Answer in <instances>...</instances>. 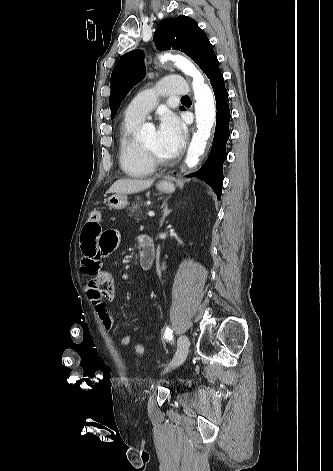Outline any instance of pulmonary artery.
<instances>
[{"instance_id":"1","label":"pulmonary artery","mask_w":333,"mask_h":471,"mask_svg":"<svg viewBox=\"0 0 333 471\" xmlns=\"http://www.w3.org/2000/svg\"><path fill=\"white\" fill-rule=\"evenodd\" d=\"M189 91V86L182 76L165 77L157 83L154 89L138 94L126 107L124 115L128 119L142 120L153 109L159 95H187Z\"/></svg>"}]
</instances>
